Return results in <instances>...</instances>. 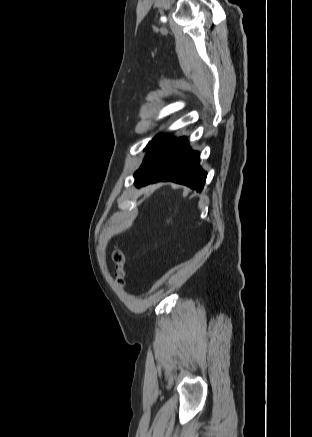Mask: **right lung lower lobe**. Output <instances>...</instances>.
I'll use <instances>...</instances> for the list:
<instances>
[{
    "label": "right lung lower lobe",
    "instance_id": "obj_1",
    "mask_svg": "<svg viewBox=\"0 0 312 437\" xmlns=\"http://www.w3.org/2000/svg\"><path fill=\"white\" fill-rule=\"evenodd\" d=\"M206 175L199 165V153L191 150L186 137H181L149 151L134 177L137 186L172 181L201 192Z\"/></svg>",
    "mask_w": 312,
    "mask_h": 437
}]
</instances>
